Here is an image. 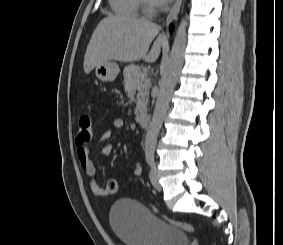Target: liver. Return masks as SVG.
I'll use <instances>...</instances> for the list:
<instances>
[{
  "label": "liver",
  "instance_id": "6515ba94",
  "mask_svg": "<svg viewBox=\"0 0 283 245\" xmlns=\"http://www.w3.org/2000/svg\"><path fill=\"white\" fill-rule=\"evenodd\" d=\"M159 31L157 24L147 20L109 15L100 21L89 41L84 57L85 73L89 74L97 65L110 60L155 62L164 42L161 34L157 37Z\"/></svg>",
  "mask_w": 283,
  "mask_h": 245
}]
</instances>
